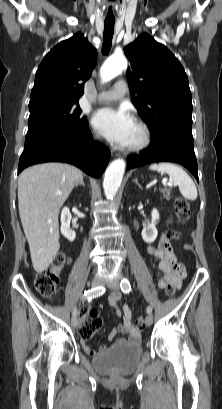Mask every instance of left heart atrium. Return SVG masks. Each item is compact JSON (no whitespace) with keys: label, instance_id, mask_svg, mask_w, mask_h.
<instances>
[{"label":"left heart atrium","instance_id":"1","mask_svg":"<svg viewBox=\"0 0 222 409\" xmlns=\"http://www.w3.org/2000/svg\"><path fill=\"white\" fill-rule=\"evenodd\" d=\"M92 124L108 141L118 146H128L135 121L124 108H102L94 113Z\"/></svg>","mask_w":222,"mask_h":409}]
</instances>
